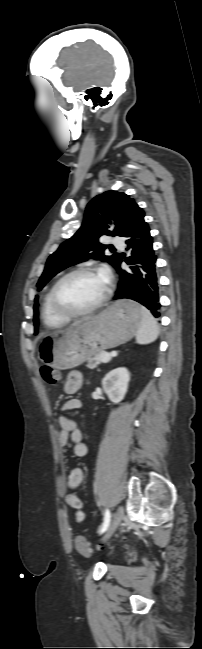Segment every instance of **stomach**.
Returning <instances> with one entry per match:
<instances>
[{
	"label": "stomach",
	"instance_id": "stomach-1",
	"mask_svg": "<svg viewBox=\"0 0 202 649\" xmlns=\"http://www.w3.org/2000/svg\"><path fill=\"white\" fill-rule=\"evenodd\" d=\"M141 321L140 305L117 301L77 326L44 337L38 346V358L57 370L77 367L98 352L127 342L137 333Z\"/></svg>",
	"mask_w": 202,
	"mask_h": 649
}]
</instances>
